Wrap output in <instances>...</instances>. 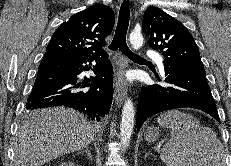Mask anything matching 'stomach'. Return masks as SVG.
Returning <instances> with one entry per match:
<instances>
[{
    "instance_id": "obj_1",
    "label": "stomach",
    "mask_w": 231,
    "mask_h": 166,
    "mask_svg": "<svg viewBox=\"0 0 231 166\" xmlns=\"http://www.w3.org/2000/svg\"><path fill=\"white\" fill-rule=\"evenodd\" d=\"M159 134L160 130L158 127H149L145 133V140L147 142H154L159 137Z\"/></svg>"
}]
</instances>
